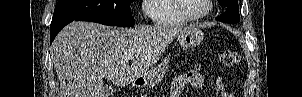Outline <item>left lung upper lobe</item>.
<instances>
[{
  "instance_id": "1",
  "label": "left lung upper lobe",
  "mask_w": 302,
  "mask_h": 97,
  "mask_svg": "<svg viewBox=\"0 0 302 97\" xmlns=\"http://www.w3.org/2000/svg\"><path fill=\"white\" fill-rule=\"evenodd\" d=\"M219 3L227 7L226 12L216 19L227 23H236L239 21V9L237 0H218Z\"/></svg>"
}]
</instances>
